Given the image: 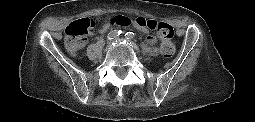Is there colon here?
<instances>
[{
    "instance_id": "1",
    "label": "colon",
    "mask_w": 255,
    "mask_h": 122,
    "mask_svg": "<svg viewBox=\"0 0 255 122\" xmlns=\"http://www.w3.org/2000/svg\"><path fill=\"white\" fill-rule=\"evenodd\" d=\"M112 21L119 26H135L141 30L155 31L160 38V51L164 57H172L175 52L173 42L174 30L164 22L152 20L146 17L130 18L118 15ZM95 27L94 21L84 18L70 23L65 30V43L68 50L75 54L84 45L88 34Z\"/></svg>"
}]
</instances>
